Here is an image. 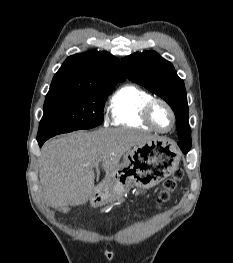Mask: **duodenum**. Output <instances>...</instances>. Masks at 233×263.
I'll return each mask as SVG.
<instances>
[{
    "label": "duodenum",
    "instance_id": "410a0bca",
    "mask_svg": "<svg viewBox=\"0 0 233 263\" xmlns=\"http://www.w3.org/2000/svg\"><path fill=\"white\" fill-rule=\"evenodd\" d=\"M103 192V187L102 186H97L96 188V193L94 195V200L96 202H101L104 199V196L102 195Z\"/></svg>",
    "mask_w": 233,
    "mask_h": 263
}]
</instances>
